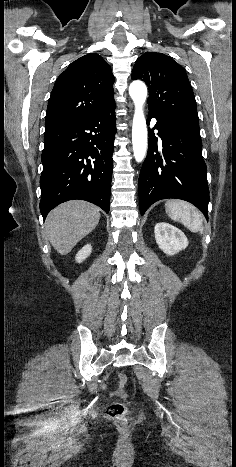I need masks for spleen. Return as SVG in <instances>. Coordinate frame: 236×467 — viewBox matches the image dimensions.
<instances>
[{"mask_svg":"<svg viewBox=\"0 0 236 467\" xmlns=\"http://www.w3.org/2000/svg\"><path fill=\"white\" fill-rule=\"evenodd\" d=\"M165 208L172 220L181 222L192 232L202 233V215L193 205L182 200H170L165 204Z\"/></svg>","mask_w":236,"mask_h":467,"instance_id":"3e777b00","label":"spleen"}]
</instances>
